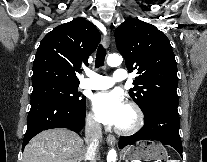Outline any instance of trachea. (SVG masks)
Returning a JSON list of instances; mask_svg holds the SVG:
<instances>
[{"instance_id": "1", "label": "trachea", "mask_w": 207, "mask_h": 162, "mask_svg": "<svg viewBox=\"0 0 207 162\" xmlns=\"http://www.w3.org/2000/svg\"><path fill=\"white\" fill-rule=\"evenodd\" d=\"M105 56H106V49L102 45H99L96 54V61H95L96 68L104 65Z\"/></svg>"}]
</instances>
